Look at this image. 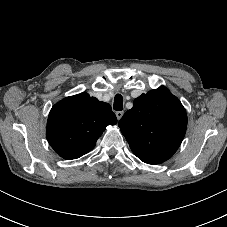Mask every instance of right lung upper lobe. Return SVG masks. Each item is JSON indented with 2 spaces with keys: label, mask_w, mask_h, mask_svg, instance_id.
<instances>
[{
  "label": "right lung upper lobe",
  "mask_w": 227,
  "mask_h": 227,
  "mask_svg": "<svg viewBox=\"0 0 227 227\" xmlns=\"http://www.w3.org/2000/svg\"><path fill=\"white\" fill-rule=\"evenodd\" d=\"M116 123L108 103L81 93L64 98L52 107L46 136L56 153L71 160L92 150L106 127Z\"/></svg>",
  "instance_id": "obj_1"
}]
</instances>
